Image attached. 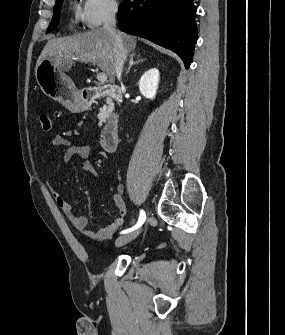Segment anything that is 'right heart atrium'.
<instances>
[{
  "label": "right heart atrium",
  "instance_id": "d8ad5b80",
  "mask_svg": "<svg viewBox=\"0 0 285 335\" xmlns=\"http://www.w3.org/2000/svg\"><path fill=\"white\" fill-rule=\"evenodd\" d=\"M119 10L117 1H84L73 10V21L87 29H97L112 20Z\"/></svg>",
  "mask_w": 285,
  "mask_h": 335
}]
</instances>
